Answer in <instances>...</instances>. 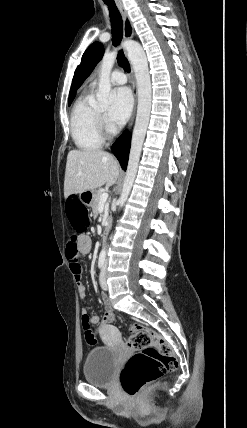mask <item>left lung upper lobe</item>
I'll use <instances>...</instances> for the list:
<instances>
[{"instance_id":"5c2ea615","label":"left lung upper lobe","mask_w":247,"mask_h":428,"mask_svg":"<svg viewBox=\"0 0 247 428\" xmlns=\"http://www.w3.org/2000/svg\"><path fill=\"white\" fill-rule=\"evenodd\" d=\"M104 47L99 42L91 44L82 56L81 64L75 71L71 90L69 94V105L73 97V90L81 86L84 80L90 75L97 63L102 59Z\"/></svg>"}]
</instances>
